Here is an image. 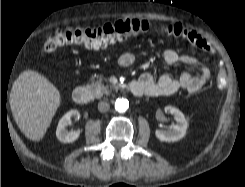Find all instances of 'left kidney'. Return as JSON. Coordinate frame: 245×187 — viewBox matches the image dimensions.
<instances>
[{
    "label": "left kidney",
    "instance_id": "obj_1",
    "mask_svg": "<svg viewBox=\"0 0 245 187\" xmlns=\"http://www.w3.org/2000/svg\"><path fill=\"white\" fill-rule=\"evenodd\" d=\"M165 112L171 113L177 123L173 124L168 130H156V137L164 142H175L182 139L188 127L184 114L179 109L172 106H166Z\"/></svg>",
    "mask_w": 245,
    "mask_h": 187
}]
</instances>
